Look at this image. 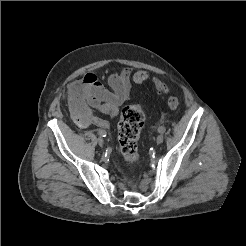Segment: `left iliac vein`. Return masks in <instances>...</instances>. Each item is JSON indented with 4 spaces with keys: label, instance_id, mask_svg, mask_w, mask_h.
Listing matches in <instances>:
<instances>
[{
    "label": "left iliac vein",
    "instance_id": "4c4485c4",
    "mask_svg": "<svg viewBox=\"0 0 246 246\" xmlns=\"http://www.w3.org/2000/svg\"><path fill=\"white\" fill-rule=\"evenodd\" d=\"M163 140H164L163 135L162 134H159L157 136L156 143L159 145V144H161L163 142Z\"/></svg>",
    "mask_w": 246,
    "mask_h": 246
}]
</instances>
